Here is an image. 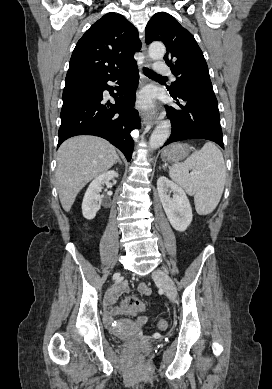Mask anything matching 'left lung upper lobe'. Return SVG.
Instances as JSON below:
<instances>
[{"label":"left lung upper lobe","instance_id":"5c2ea615","mask_svg":"<svg viewBox=\"0 0 272 389\" xmlns=\"http://www.w3.org/2000/svg\"><path fill=\"white\" fill-rule=\"evenodd\" d=\"M145 41H162L167 53L165 61L177 77L171 84L174 92L183 83L211 82L208 66L194 36L168 13H157L145 29Z\"/></svg>","mask_w":272,"mask_h":389}]
</instances>
